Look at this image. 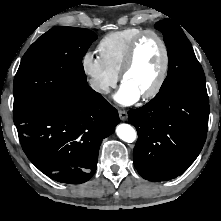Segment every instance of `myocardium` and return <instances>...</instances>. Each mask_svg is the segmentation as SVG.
Listing matches in <instances>:
<instances>
[{
    "mask_svg": "<svg viewBox=\"0 0 221 221\" xmlns=\"http://www.w3.org/2000/svg\"><path fill=\"white\" fill-rule=\"evenodd\" d=\"M146 37H153L159 42L161 49H162L163 59H162V65H161V69L159 72V76L155 84L152 86L150 90H148L146 93L141 95V97L145 100L155 97L161 91L165 83V80L167 78L169 64H170V55H169L168 46L165 40L163 39V37L159 33L153 30H145L141 32L138 36H136L133 39V41L130 43L127 49L123 65L119 73V78L121 82L123 83L126 74L129 72V70L132 68L134 64L135 56H136V52L139 47V44Z\"/></svg>",
    "mask_w": 221,
    "mask_h": 221,
    "instance_id": "myocardium-1",
    "label": "myocardium"
}]
</instances>
